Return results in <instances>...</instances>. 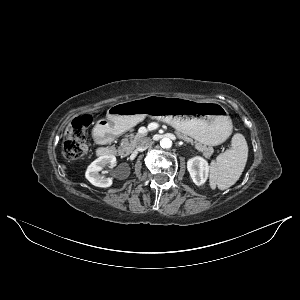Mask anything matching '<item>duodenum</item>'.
<instances>
[{"label":"duodenum","mask_w":300,"mask_h":300,"mask_svg":"<svg viewBox=\"0 0 300 300\" xmlns=\"http://www.w3.org/2000/svg\"><path fill=\"white\" fill-rule=\"evenodd\" d=\"M93 139L98 145V152L101 156H114L117 154V150L112 145H109L110 135L107 129L96 130Z\"/></svg>","instance_id":"duodenum-1"}]
</instances>
